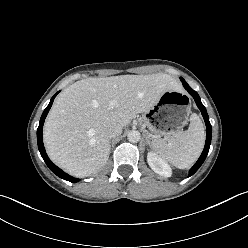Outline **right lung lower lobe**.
<instances>
[{
  "label": "right lung lower lobe",
  "instance_id": "right-lung-lower-lobe-1",
  "mask_svg": "<svg viewBox=\"0 0 248 248\" xmlns=\"http://www.w3.org/2000/svg\"><path fill=\"white\" fill-rule=\"evenodd\" d=\"M58 94V92L51 98L49 105L46 107V109L44 110L41 119H40V124L38 126L37 129V142H38V148L40 151V154L42 156V158L44 159L46 165L50 168V170L55 173L57 176H59L60 178L70 181V182H78L79 179L74 178L68 174H66L65 172H63L60 168H58L55 164L52 163V161L48 158L44 145H43V138H42V128H43V124H44V120L48 114V111L50 110L53 100L56 97V95Z\"/></svg>",
  "mask_w": 248,
  "mask_h": 248
}]
</instances>
